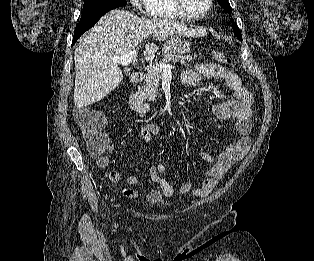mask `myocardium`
<instances>
[{
    "mask_svg": "<svg viewBox=\"0 0 314 261\" xmlns=\"http://www.w3.org/2000/svg\"><path fill=\"white\" fill-rule=\"evenodd\" d=\"M172 2L175 5V7L189 19H202L209 15L213 8V0H208L207 10L204 13L197 15L193 14L186 8L183 0H172Z\"/></svg>",
    "mask_w": 314,
    "mask_h": 261,
    "instance_id": "f54148a6",
    "label": "myocardium"
}]
</instances>
